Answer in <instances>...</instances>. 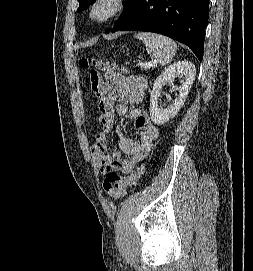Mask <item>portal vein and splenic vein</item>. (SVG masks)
Wrapping results in <instances>:
<instances>
[{
	"label": "portal vein and splenic vein",
	"mask_w": 253,
	"mask_h": 271,
	"mask_svg": "<svg viewBox=\"0 0 253 271\" xmlns=\"http://www.w3.org/2000/svg\"><path fill=\"white\" fill-rule=\"evenodd\" d=\"M155 65V62H149V63H139L138 66L141 68H149L153 67Z\"/></svg>",
	"instance_id": "obj_1"
}]
</instances>
